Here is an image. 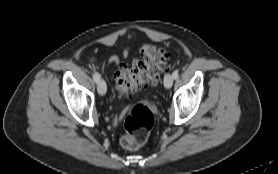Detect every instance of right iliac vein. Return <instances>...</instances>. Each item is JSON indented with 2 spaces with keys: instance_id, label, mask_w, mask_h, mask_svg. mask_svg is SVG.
<instances>
[{
  "instance_id": "1",
  "label": "right iliac vein",
  "mask_w": 278,
  "mask_h": 174,
  "mask_svg": "<svg viewBox=\"0 0 278 174\" xmlns=\"http://www.w3.org/2000/svg\"><path fill=\"white\" fill-rule=\"evenodd\" d=\"M97 90L100 95H105V93L107 91V86L103 79L99 80L98 85H97Z\"/></svg>"
}]
</instances>
